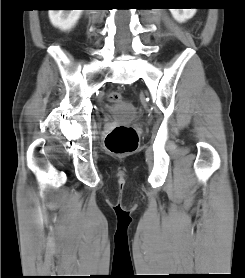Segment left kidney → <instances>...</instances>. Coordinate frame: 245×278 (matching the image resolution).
Segmentation results:
<instances>
[{
    "label": "left kidney",
    "mask_w": 245,
    "mask_h": 278,
    "mask_svg": "<svg viewBox=\"0 0 245 278\" xmlns=\"http://www.w3.org/2000/svg\"><path fill=\"white\" fill-rule=\"evenodd\" d=\"M196 8L191 9H170L172 16L175 20L182 23L192 18L196 13Z\"/></svg>",
    "instance_id": "1"
}]
</instances>
